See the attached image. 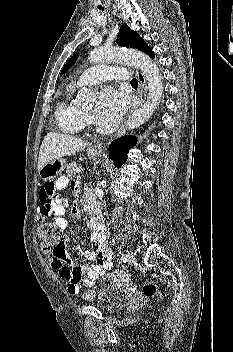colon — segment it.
Instances as JSON below:
<instances>
[{
    "mask_svg": "<svg viewBox=\"0 0 233 352\" xmlns=\"http://www.w3.org/2000/svg\"><path fill=\"white\" fill-rule=\"evenodd\" d=\"M38 235L48 246L58 245L63 242V230L48 222H43L40 224L38 227ZM143 293L148 297L162 296V293L157 285L151 281L144 282ZM83 296L85 299H91L93 298L94 293L91 290H87L84 292Z\"/></svg>",
    "mask_w": 233,
    "mask_h": 352,
    "instance_id": "obj_1",
    "label": "colon"
}]
</instances>
